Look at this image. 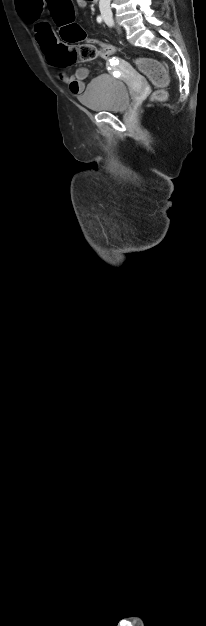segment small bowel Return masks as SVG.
I'll list each match as a JSON object with an SVG mask.
<instances>
[{"label": "small bowel", "instance_id": "obj_1", "mask_svg": "<svg viewBox=\"0 0 206 626\" xmlns=\"http://www.w3.org/2000/svg\"><path fill=\"white\" fill-rule=\"evenodd\" d=\"M76 3L80 9H85L87 7L86 0H76ZM34 35L41 51L46 56L47 61L52 65L58 66L55 64L54 59L56 48L59 44L53 33L46 27L45 24L37 23L34 27ZM110 61L114 62V65L117 67H127V63L125 61L116 58H111ZM57 76L61 82L68 85L69 90L73 94L78 95L84 91V81L88 77V69L80 67L73 74H68L66 71L60 70Z\"/></svg>", "mask_w": 206, "mask_h": 626}]
</instances>
